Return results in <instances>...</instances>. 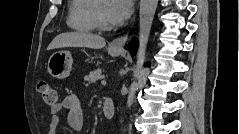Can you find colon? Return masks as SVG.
Wrapping results in <instances>:
<instances>
[{"label": "colon", "mask_w": 239, "mask_h": 134, "mask_svg": "<svg viewBox=\"0 0 239 134\" xmlns=\"http://www.w3.org/2000/svg\"><path fill=\"white\" fill-rule=\"evenodd\" d=\"M38 91L46 104L53 106L57 103V93L47 81L41 80L38 83Z\"/></svg>", "instance_id": "1"}]
</instances>
